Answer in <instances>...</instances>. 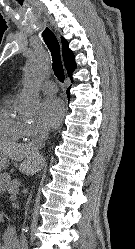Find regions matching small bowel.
<instances>
[{
  "mask_svg": "<svg viewBox=\"0 0 135 249\" xmlns=\"http://www.w3.org/2000/svg\"><path fill=\"white\" fill-rule=\"evenodd\" d=\"M0 249H3V246L0 244Z\"/></svg>",
  "mask_w": 135,
  "mask_h": 249,
  "instance_id": "small-bowel-1",
  "label": "small bowel"
}]
</instances>
